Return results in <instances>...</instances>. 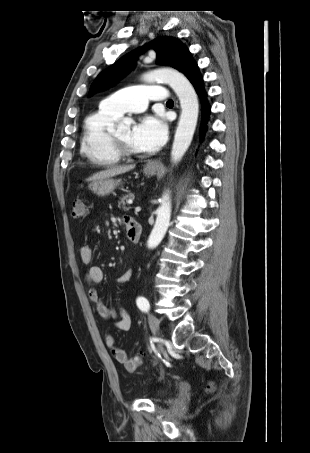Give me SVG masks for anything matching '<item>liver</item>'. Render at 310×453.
<instances>
[{
  "mask_svg": "<svg viewBox=\"0 0 310 453\" xmlns=\"http://www.w3.org/2000/svg\"><path fill=\"white\" fill-rule=\"evenodd\" d=\"M135 168V165H126V166H115V167H110L106 170H102L100 172H97L93 174L91 177L86 179L87 181H97L100 179H105V178H110L115 175L123 174L126 173L132 169Z\"/></svg>",
  "mask_w": 310,
  "mask_h": 453,
  "instance_id": "6515ba94",
  "label": "liver"
}]
</instances>
